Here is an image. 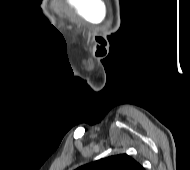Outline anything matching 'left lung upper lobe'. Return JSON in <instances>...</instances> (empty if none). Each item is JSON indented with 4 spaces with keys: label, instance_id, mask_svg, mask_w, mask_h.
<instances>
[{
    "label": "left lung upper lobe",
    "instance_id": "5c2ea615",
    "mask_svg": "<svg viewBox=\"0 0 190 170\" xmlns=\"http://www.w3.org/2000/svg\"><path fill=\"white\" fill-rule=\"evenodd\" d=\"M76 170H144V168L129 155L119 154L83 165Z\"/></svg>",
    "mask_w": 190,
    "mask_h": 170
}]
</instances>
